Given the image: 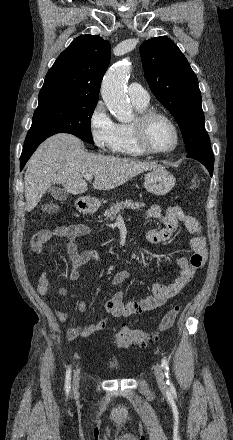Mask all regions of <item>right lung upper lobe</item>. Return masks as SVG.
Returning <instances> with one entry per match:
<instances>
[{
    "mask_svg": "<svg viewBox=\"0 0 233 440\" xmlns=\"http://www.w3.org/2000/svg\"><path fill=\"white\" fill-rule=\"evenodd\" d=\"M111 46L100 36L82 35L64 50L45 77L39 103L54 98L98 101Z\"/></svg>",
    "mask_w": 233,
    "mask_h": 440,
    "instance_id": "obj_1",
    "label": "right lung upper lobe"
}]
</instances>
